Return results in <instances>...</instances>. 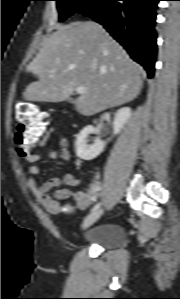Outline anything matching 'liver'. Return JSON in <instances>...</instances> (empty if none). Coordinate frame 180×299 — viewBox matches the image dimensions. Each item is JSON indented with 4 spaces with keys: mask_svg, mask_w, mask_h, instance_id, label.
Here are the masks:
<instances>
[{
    "mask_svg": "<svg viewBox=\"0 0 180 299\" xmlns=\"http://www.w3.org/2000/svg\"><path fill=\"white\" fill-rule=\"evenodd\" d=\"M27 71L38 81L27 86L25 100L62 102L84 86L86 93L74 101L84 116L128 103L142 89L141 67L93 21L59 26Z\"/></svg>",
    "mask_w": 180,
    "mask_h": 299,
    "instance_id": "liver-1",
    "label": "liver"
}]
</instances>
